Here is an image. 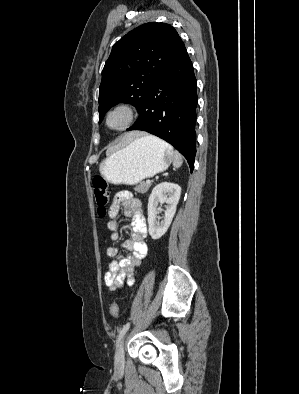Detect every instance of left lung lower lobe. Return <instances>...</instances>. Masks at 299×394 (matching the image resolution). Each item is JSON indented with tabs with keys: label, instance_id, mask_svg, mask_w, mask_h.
Wrapping results in <instances>:
<instances>
[{
	"label": "left lung lower lobe",
	"instance_id": "left-lung-lower-lobe-1",
	"mask_svg": "<svg viewBox=\"0 0 299 394\" xmlns=\"http://www.w3.org/2000/svg\"><path fill=\"white\" fill-rule=\"evenodd\" d=\"M196 78L186 49L159 75L130 130L147 131L173 145L188 161L196 154Z\"/></svg>",
	"mask_w": 299,
	"mask_h": 394
}]
</instances>
